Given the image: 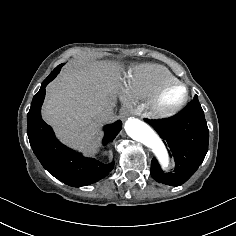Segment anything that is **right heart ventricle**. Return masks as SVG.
<instances>
[{"instance_id":"1","label":"right heart ventricle","mask_w":236,"mask_h":236,"mask_svg":"<svg viewBox=\"0 0 236 236\" xmlns=\"http://www.w3.org/2000/svg\"><path fill=\"white\" fill-rule=\"evenodd\" d=\"M136 80L124 89V97L132 100H150L164 84L177 81L165 67L155 64L135 68Z\"/></svg>"}]
</instances>
